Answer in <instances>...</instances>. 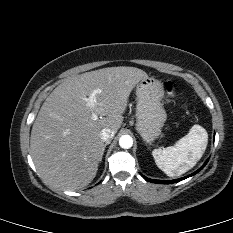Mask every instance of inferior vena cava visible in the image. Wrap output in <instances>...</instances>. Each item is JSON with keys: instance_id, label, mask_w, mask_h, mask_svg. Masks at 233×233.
Segmentation results:
<instances>
[{"instance_id": "1", "label": "inferior vena cava", "mask_w": 233, "mask_h": 233, "mask_svg": "<svg viewBox=\"0 0 233 233\" xmlns=\"http://www.w3.org/2000/svg\"><path fill=\"white\" fill-rule=\"evenodd\" d=\"M100 135H101V139L104 142L108 143V142H110L113 139L114 132L111 129H109V128H104V129H102Z\"/></svg>"}]
</instances>
